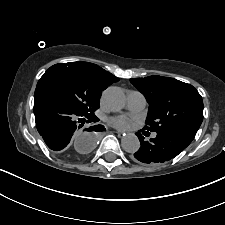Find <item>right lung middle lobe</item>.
I'll return each mask as SVG.
<instances>
[{"label": "right lung middle lobe", "mask_w": 225, "mask_h": 225, "mask_svg": "<svg viewBox=\"0 0 225 225\" xmlns=\"http://www.w3.org/2000/svg\"><path fill=\"white\" fill-rule=\"evenodd\" d=\"M36 89L49 91L87 117L94 118V112L99 108L101 91L68 64L51 66L38 81Z\"/></svg>", "instance_id": "1"}]
</instances>
